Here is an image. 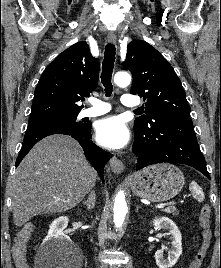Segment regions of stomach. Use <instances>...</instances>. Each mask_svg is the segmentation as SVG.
Segmentation results:
<instances>
[{"instance_id": "stomach-1", "label": "stomach", "mask_w": 221, "mask_h": 268, "mask_svg": "<svg viewBox=\"0 0 221 268\" xmlns=\"http://www.w3.org/2000/svg\"><path fill=\"white\" fill-rule=\"evenodd\" d=\"M184 183L182 171L169 163L152 165L131 177L133 193L155 202H163L175 197Z\"/></svg>"}]
</instances>
